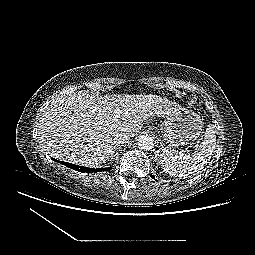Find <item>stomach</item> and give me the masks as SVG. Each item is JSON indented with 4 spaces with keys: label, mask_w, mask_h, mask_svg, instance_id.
<instances>
[{
    "label": "stomach",
    "mask_w": 255,
    "mask_h": 255,
    "mask_svg": "<svg viewBox=\"0 0 255 255\" xmlns=\"http://www.w3.org/2000/svg\"><path fill=\"white\" fill-rule=\"evenodd\" d=\"M203 121L190 109L173 105L161 124L163 139L169 143V149L184 146L195 141L201 134Z\"/></svg>",
    "instance_id": "0dacf381"
}]
</instances>
